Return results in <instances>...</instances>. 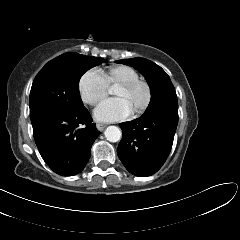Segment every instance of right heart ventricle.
<instances>
[{
    "label": "right heart ventricle",
    "mask_w": 240,
    "mask_h": 240,
    "mask_svg": "<svg viewBox=\"0 0 240 240\" xmlns=\"http://www.w3.org/2000/svg\"><path fill=\"white\" fill-rule=\"evenodd\" d=\"M102 77L111 87H116L121 83L132 81L140 77L139 73L127 65H114L106 71H102Z\"/></svg>",
    "instance_id": "right-heart-ventricle-1"
}]
</instances>
